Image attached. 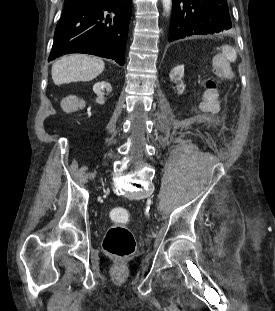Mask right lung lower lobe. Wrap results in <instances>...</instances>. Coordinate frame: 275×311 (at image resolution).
<instances>
[{"label":"right lung lower lobe","mask_w":275,"mask_h":311,"mask_svg":"<svg viewBox=\"0 0 275 311\" xmlns=\"http://www.w3.org/2000/svg\"><path fill=\"white\" fill-rule=\"evenodd\" d=\"M132 0H79L65 4L49 59L88 53L124 65Z\"/></svg>","instance_id":"1"}]
</instances>
